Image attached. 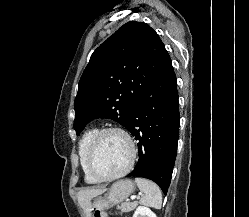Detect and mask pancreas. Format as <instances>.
<instances>
[{
    "label": "pancreas",
    "instance_id": "pancreas-1",
    "mask_svg": "<svg viewBox=\"0 0 249 217\" xmlns=\"http://www.w3.org/2000/svg\"><path fill=\"white\" fill-rule=\"evenodd\" d=\"M137 205H138V202H131V203L125 202V203H122L118 207V209H120L122 213L130 212V211L134 210L137 207Z\"/></svg>",
    "mask_w": 249,
    "mask_h": 217
}]
</instances>
